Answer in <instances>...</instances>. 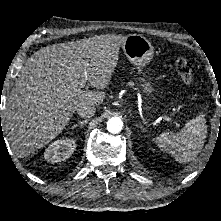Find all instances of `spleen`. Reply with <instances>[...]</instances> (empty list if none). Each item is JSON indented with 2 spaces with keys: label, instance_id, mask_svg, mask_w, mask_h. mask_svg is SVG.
Segmentation results:
<instances>
[{
  "label": "spleen",
  "instance_id": "3e777b00",
  "mask_svg": "<svg viewBox=\"0 0 221 221\" xmlns=\"http://www.w3.org/2000/svg\"><path fill=\"white\" fill-rule=\"evenodd\" d=\"M206 134V119L200 114L186 123L181 132H164L154 142L161 151L169 153L177 162L187 163L200 153Z\"/></svg>",
  "mask_w": 221,
  "mask_h": 221
}]
</instances>
